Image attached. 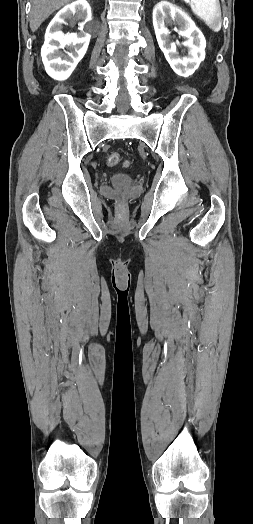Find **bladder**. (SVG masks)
Instances as JSON below:
<instances>
[{"mask_svg": "<svg viewBox=\"0 0 253 524\" xmlns=\"http://www.w3.org/2000/svg\"><path fill=\"white\" fill-rule=\"evenodd\" d=\"M133 180L128 175H117L113 178V184L117 187H127L132 184Z\"/></svg>", "mask_w": 253, "mask_h": 524, "instance_id": "31cf9c89", "label": "bladder"}]
</instances>
